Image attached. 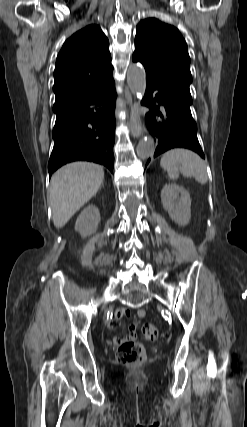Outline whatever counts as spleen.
Masks as SVG:
<instances>
[{"instance_id": "1", "label": "spleen", "mask_w": 247, "mask_h": 427, "mask_svg": "<svg viewBox=\"0 0 247 427\" xmlns=\"http://www.w3.org/2000/svg\"><path fill=\"white\" fill-rule=\"evenodd\" d=\"M160 165L172 180H176L181 172L185 177H194L200 184H206L208 181L205 162L190 150H169L163 154Z\"/></svg>"}]
</instances>
